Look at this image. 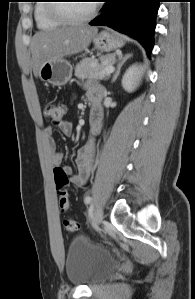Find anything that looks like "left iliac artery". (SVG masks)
<instances>
[{"label": "left iliac artery", "mask_w": 195, "mask_h": 299, "mask_svg": "<svg viewBox=\"0 0 195 299\" xmlns=\"http://www.w3.org/2000/svg\"><path fill=\"white\" fill-rule=\"evenodd\" d=\"M84 201L86 204H89L92 202V198L90 196H87Z\"/></svg>", "instance_id": "44dca946"}]
</instances>
